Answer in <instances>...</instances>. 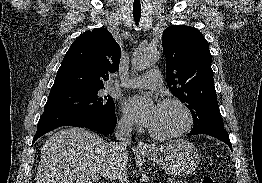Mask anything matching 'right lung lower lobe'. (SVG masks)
Instances as JSON below:
<instances>
[{"label":"right lung lower lobe","instance_id":"98d812e1","mask_svg":"<svg viewBox=\"0 0 262 183\" xmlns=\"http://www.w3.org/2000/svg\"><path fill=\"white\" fill-rule=\"evenodd\" d=\"M117 123L115 110L100 113L74 111H47L40 118L33 143L45 133L60 126L85 127L107 135L114 131Z\"/></svg>","mask_w":262,"mask_h":183}]
</instances>
